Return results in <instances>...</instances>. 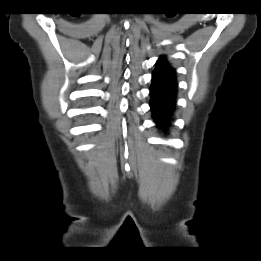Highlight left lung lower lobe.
Masks as SVG:
<instances>
[{
  "instance_id": "0a47b994",
  "label": "left lung lower lobe",
  "mask_w": 261,
  "mask_h": 261,
  "mask_svg": "<svg viewBox=\"0 0 261 261\" xmlns=\"http://www.w3.org/2000/svg\"><path fill=\"white\" fill-rule=\"evenodd\" d=\"M176 87L175 70L164 59H159L150 87L152 117L159 129L164 130L170 125L176 103Z\"/></svg>"
}]
</instances>
